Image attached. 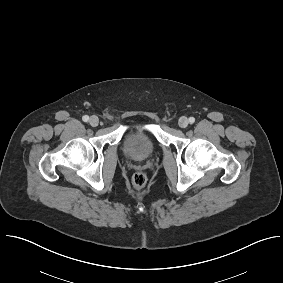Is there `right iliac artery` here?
<instances>
[{
	"mask_svg": "<svg viewBox=\"0 0 283 283\" xmlns=\"http://www.w3.org/2000/svg\"><path fill=\"white\" fill-rule=\"evenodd\" d=\"M82 120H83L84 122H88V121H89V116H87V115L83 116V117H82Z\"/></svg>",
	"mask_w": 283,
	"mask_h": 283,
	"instance_id": "right-iliac-artery-1",
	"label": "right iliac artery"
}]
</instances>
